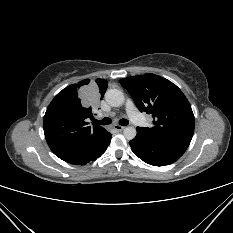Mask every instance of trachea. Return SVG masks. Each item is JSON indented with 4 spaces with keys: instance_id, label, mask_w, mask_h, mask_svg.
I'll return each mask as SVG.
<instances>
[{
    "instance_id": "obj_1",
    "label": "trachea",
    "mask_w": 233,
    "mask_h": 233,
    "mask_svg": "<svg viewBox=\"0 0 233 233\" xmlns=\"http://www.w3.org/2000/svg\"><path fill=\"white\" fill-rule=\"evenodd\" d=\"M94 123H96V124H100V125H108V124H111L112 123V120L110 119V118H108V117H106V118H104L103 120H94ZM128 120H126V119H121L120 121H119V124L121 125V126H126V125H128Z\"/></svg>"
}]
</instances>
